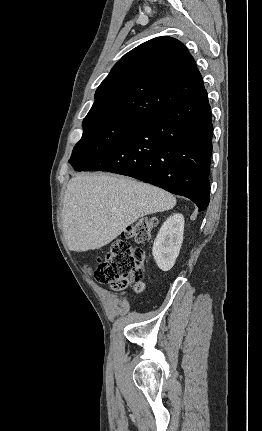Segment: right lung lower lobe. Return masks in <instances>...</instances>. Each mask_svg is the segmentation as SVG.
<instances>
[{
  "label": "right lung lower lobe",
  "instance_id": "obj_1",
  "mask_svg": "<svg viewBox=\"0 0 262 431\" xmlns=\"http://www.w3.org/2000/svg\"><path fill=\"white\" fill-rule=\"evenodd\" d=\"M213 125L204 89L191 99L138 122L83 171L130 176L191 199L209 203Z\"/></svg>",
  "mask_w": 262,
  "mask_h": 431
}]
</instances>
